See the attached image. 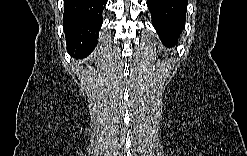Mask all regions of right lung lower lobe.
Listing matches in <instances>:
<instances>
[{"label":"right lung lower lobe","mask_w":247,"mask_h":156,"mask_svg":"<svg viewBox=\"0 0 247 156\" xmlns=\"http://www.w3.org/2000/svg\"><path fill=\"white\" fill-rule=\"evenodd\" d=\"M104 0H64L63 27L69 54L88 56L102 26Z\"/></svg>","instance_id":"right-lung-lower-lobe-1"}]
</instances>
